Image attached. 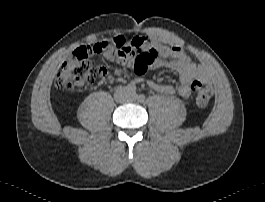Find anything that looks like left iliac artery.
Returning a JSON list of instances; mask_svg holds the SVG:
<instances>
[{"label": "left iliac artery", "mask_w": 265, "mask_h": 202, "mask_svg": "<svg viewBox=\"0 0 265 202\" xmlns=\"http://www.w3.org/2000/svg\"><path fill=\"white\" fill-rule=\"evenodd\" d=\"M137 101L138 102H144L145 101V96L143 94H139L137 97H136Z\"/></svg>", "instance_id": "1"}]
</instances>
